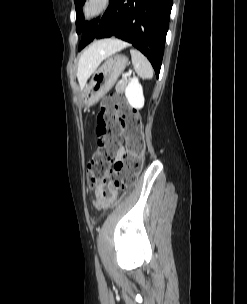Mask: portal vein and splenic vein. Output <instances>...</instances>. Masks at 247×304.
Returning <instances> with one entry per match:
<instances>
[{
  "label": "portal vein and splenic vein",
  "mask_w": 247,
  "mask_h": 304,
  "mask_svg": "<svg viewBox=\"0 0 247 304\" xmlns=\"http://www.w3.org/2000/svg\"><path fill=\"white\" fill-rule=\"evenodd\" d=\"M130 74H131L130 72L124 73L123 77L126 78V77L130 76Z\"/></svg>",
  "instance_id": "1"
}]
</instances>
